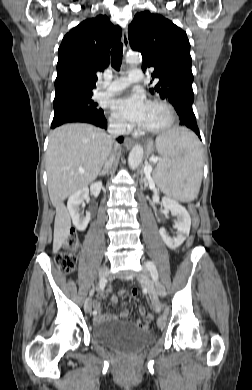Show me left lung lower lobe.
Returning <instances> with one entry per match:
<instances>
[{
	"label": "left lung lower lobe",
	"mask_w": 252,
	"mask_h": 390,
	"mask_svg": "<svg viewBox=\"0 0 252 390\" xmlns=\"http://www.w3.org/2000/svg\"><path fill=\"white\" fill-rule=\"evenodd\" d=\"M176 112L179 115V124L192 129L201 139L192 107L186 104L180 105Z\"/></svg>",
	"instance_id": "left-lung-lower-lobe-1"
}]
</instances>
